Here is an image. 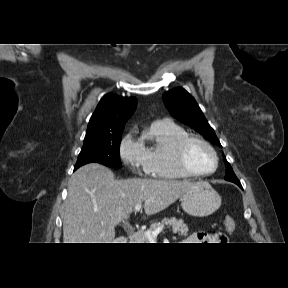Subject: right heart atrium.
Segmentation results:
<instances>
[{
    "label": "right heart atrium",
    "mask_w": 288,
    "mask_h": 288,
    "mask_svg": "<svg viewBox=\"0 0 288 288\" xmlns=\"http://www.w3.org/2000/svg\"><path fill=\"white\" fill-rule=\"evenodd\" d=\"M119 155L121 161L132 171L144 170L145 149L141 141L135 139L132 133H128L122 138Z\"/></svg>",
    "instance_id": "1"
}]
</instances>
